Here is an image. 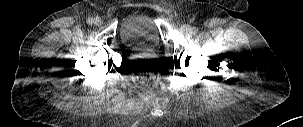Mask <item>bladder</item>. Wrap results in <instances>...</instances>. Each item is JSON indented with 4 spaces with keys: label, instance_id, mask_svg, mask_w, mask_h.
<instances>
[{
    "label": "bladder",
    "instance_id": "1",
    "mask_svg": "<svg viewBox=\"0 0 303 127\" xmlns=\"http://www.w3.org/2000/svg\"><path fill=\"white\" fill-rule=\"evenodd\" d=\"M120 37L129 46L157 47L160 37L156 20L146 12L135 10L121 21Z\"/></svg>",
    "mask_w": 303,
    "mask_h": 127
}]
</instances>
